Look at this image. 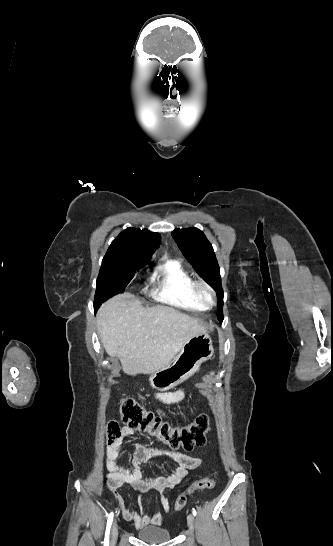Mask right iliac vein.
I'll return each instance as SVG.
<instances>
[{
	"label": "right iliac vein",
	"mask_w": 333,
	"mask_h": 546,
	"mask_svg": "<svg viewBox=\"0 0 333 546\" xmlns=\"http://www.w3.org/2000/svg\"><path fill=\"white\" fill-rule=\"evenodd\" d=\"M117 536H118V526H117V522L114 521L113 524H112L111 537H110L112 546L115 544V542L117 540Z\"/></svg>",
	"instance_id": "1"
}]
</instances>
